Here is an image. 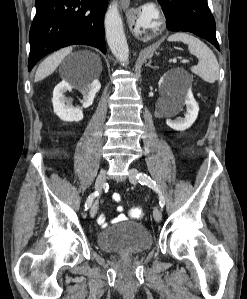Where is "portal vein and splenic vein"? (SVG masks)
I'll list each match as a JSON object with an SVG mask.
<instances>
[{
  "instance_id": "portal-vein-and-splenic-vein-1",
  "label": "portal vein and splenic vein",
  "mask_w": 247,
  "mask_h": 299,
  "mask_svg": "<svg viewBox=\"0 0 247 299\" xmlns=\"http://www.w3.org/2000/svg\"><path fill=\"white\" fill-rule=\"evenodd\" d=\"M173 62H176V59H173ZM185 62H188V60H185Z\"/></svg>"
}]
</instances>
